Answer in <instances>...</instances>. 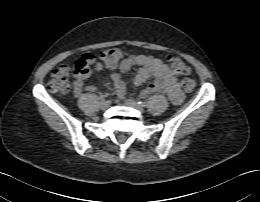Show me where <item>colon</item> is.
Segmentation results:
<instances>
[{"label":"colon","mask_w":260,"mask_h":202,"mask_svg":"<svg viewBox=\"0 0 260 202\" xmlns=\"http://www.w3.org/2000/svg\"><path fill=\"white\" fill-rule=\"evenodd\" d=\"M122 57V51L117 48H107L98 55L86 54L78 59L74 64L62 65L52 74L48 83V89L52 92L67 93L70 88V77L82 71L89 70L97 59H100L106 67H114ZM167 66L174 74L183 76L182 86L188 93L195 89L196 82L189 77V66L179 57L170 55L167 57Z\"/></svg>","instance_id":"5ec220e1"}]
</instances>
